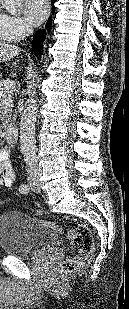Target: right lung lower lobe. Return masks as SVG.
<instances>
[{
    "label": "right lung lower lobe",
    "instance_id": "98d812e1",
    "mask_svg": "<svg viewBox=\"0 0 129 309\" xmlns=\"http://www.w3.org/2000/svg\"><path fill=\"white\" fill-rule=\"evenodd\" d=\"M52 4L56 1V0H51ZM45 30H39L33 39V43H32V47H33V51L35 54H39V51H41L42 48V42L44 41L45 38Z\"/></svg>",
    "mask_w": 129,
    "mask_h": 309
}]
</instances>
